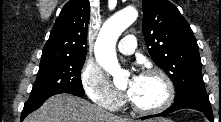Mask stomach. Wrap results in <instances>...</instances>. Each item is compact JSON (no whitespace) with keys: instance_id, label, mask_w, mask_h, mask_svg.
I'll list each match as a JSON object with an SVG mask.
<instances>
[{"instance_id":"0dacf381","label":"stomach","mask_w":221,"mask_h":122,"mask_svg":"<svg viewBox=\"0 0 221 122\" xmlns=\"http://www.w3.org/2000/svg\"><path fill=\"white\" fill-rule=\"evenodd\" d=\"M149 122H172V121L165 119V118H158V119L150 120Z\"/></svg>"}]
</instances>
